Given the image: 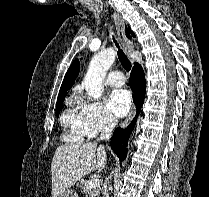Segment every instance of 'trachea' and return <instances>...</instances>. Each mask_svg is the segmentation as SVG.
Returning a JSON list of instances; mask_svg holds the SVG:
<instances>
[{"instance_id":"3493384b","label":"trachea","mask_w":209,"mask_h":197,"mask_svg":"<svg viewBox=\"0 0 209 197\" xmlns=\"http://www.w3.org/2000/svg\"><path fill=\"white\" fill-rule=\"evenodd\" d=\"M114 43L116 45V47L118 48V58L123 66V68L126 71H130L131 69V63L128 60L127 56L124 54V52L122 51V49H120V46L118 45L117 41L115 40V38L113 37Z\"/></svg>"}]
</instances>
